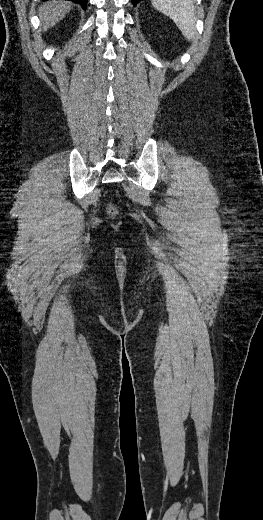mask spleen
<instances>
[{
    "label": "spleen",
    "instance_id": "1",
    "mask_svg": "<svg viewBox=\"0 0 263 520\" xmlns=\"http://www.w3.org/2000/svg\"><path fill=\"white\" fill-rule=\"evenodd\" d=\"M155 9L170 17L183 36L192 41L196 36L194 0H151Z\"/></svg>",
    "mask_w": 263,
    "mask_h": 520
}]
</instances>
